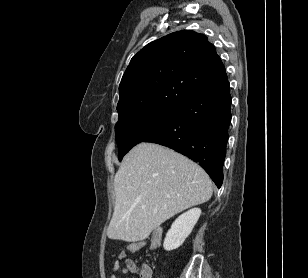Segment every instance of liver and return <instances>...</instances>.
I'll use <instances>...</instances> for the list:
<instances>
[{
	"label": "liver",
	"instance_id": "obj_1",
	"mask_svg": "<svg viewBox=\"0 0 308 278\" xmlns=\"http://www.w3.org/2000/svg\"><path fill=\"white\" fill-rule=\"evenodd\" d=\"M115 207L110 239H146L164 221L212 196L208 174L196 163L155 143L132 148L114 178Z\"/></svg>",
	"mask_w": 308,
	"mask_h": 278
}]
</instances>
